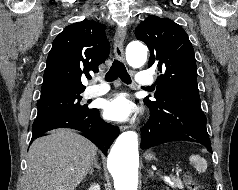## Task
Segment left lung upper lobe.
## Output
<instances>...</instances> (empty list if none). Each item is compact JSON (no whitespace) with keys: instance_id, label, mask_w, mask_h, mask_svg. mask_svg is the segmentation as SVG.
Returning <instances> with one entry per match:
<instances>
[{"instance_id":"5c2ea615","label":"left lung upper lobe","mask_w":238,"mask_h":190,"mask_svg":"<svg viewBox=\"0 0 238 190\" xmlns=\"http://www.w3.org/2000/svg\"><path fill=\"white\" fill-rule=\"evenodd\" d=\"M138 40L151 51L148 67H157L155 98L144 102L159 106L174 99L200 101L194 50L184 29L168 18L148 16L136 28Z\"/></svg>"}]
</instances>
